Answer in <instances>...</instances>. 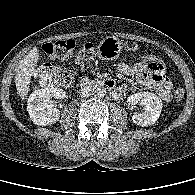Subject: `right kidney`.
<instances>
[{"instance_id":"ca27d5eb","label":"right kidney","mask_w":195,"mask_h":195,"mask_svg":"<svg viewBox=\"0 0 195 195\" xmlns=\"http://www.w3.org/2000/svg\"><path fill=\"white\" fill-rule=\"evenodd\" d=\"M52 97L62 99L66 94L60 88H42L29 96L27 110L34 124L46 126L59 120L60 111L49 102Z\"/></svg>"}]
</instances>
